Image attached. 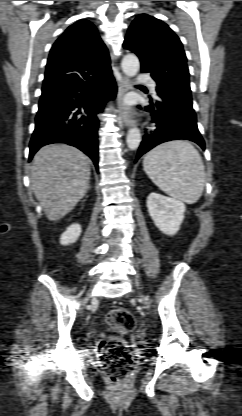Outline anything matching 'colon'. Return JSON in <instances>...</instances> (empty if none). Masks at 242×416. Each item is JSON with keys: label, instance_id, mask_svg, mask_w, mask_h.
<instances>
[{"label": "colon", "instance_id": "1", "mask_svg": "<svg viewBox=\"0 0 242 416\" xmlns=\"http://www.w3.org/2000/svg\"><path fill=\"white\" fill-rule=\"evenodd\" d=\"M106 321L116 335L101 339L98 348L103 367L111 382L118 383L128 376L133 367V359L128 347L119 336L132 332L136 322L133 315L122 308L111 310Z\"/></svg>", "mask_w": 242, "mask_h": 416}]
</instances>
